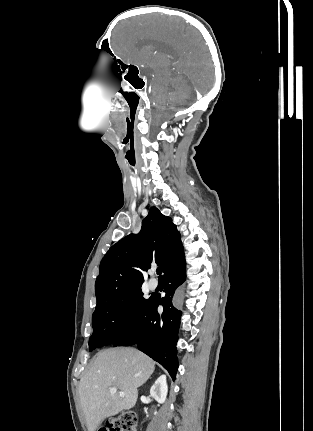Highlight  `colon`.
<instances>
[{
    "mask_svg": "<svg viewBox=\"0 0 313 431\" xmlns=\"http://www.w3.org/2000/svg\"><path fill=\"white\" fill-rule=\"evenodd\" d=\"M100 431H137V416L134 412L124 411L111 419Z\"/></svg>",
    "mask_w": 313,
    "mask_h": 431,
    "instance_id": "1",
    "label": "colon"
}]
</instances>
